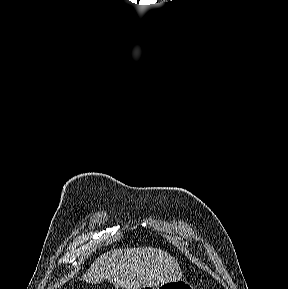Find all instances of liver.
Segmentation results:
<instances>
[{"label": "liver", "mask_w": 288, "mask_h": 289, "mask_svg": "<svg viewBox=\"0 0 288 289\" xmlns=\"http://www.w3.org/2000/svg\"><path fill=\"white\" fill-rule=\"evenodd\" d=\"M178 262L166 252L153 248L115 249L95 260L82 277L86 283L108 280L116 288L142 289L180 280Z\"/></svg>", "instance_id": "liver-1"}]
</instances>
